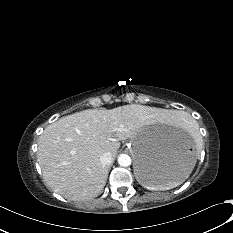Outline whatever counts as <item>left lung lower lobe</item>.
<instances>
[{
	"label": "left lung lower lobe",
	"mask_w": 233,
	"mask_h": 233,
	"mask_svg": "<svg viewBox=\"0 0 233 233\" xmlns=\"http://www.w3.org/2000/svg\"><path fill=\"white\" fill-rule=\"evenodd\" d=\"M143 173L146 175V174H149V172L147 170H144Z\"/></svg>",
	"instance_id": "0a47b994"
}]
</instances>
